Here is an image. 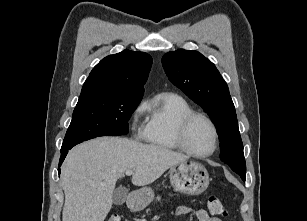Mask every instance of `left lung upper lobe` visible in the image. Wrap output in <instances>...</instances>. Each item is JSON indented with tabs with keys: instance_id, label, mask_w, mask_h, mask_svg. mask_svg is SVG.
I'll use <instances>...</instances> for the list:
<instances>
[{
	"instance_id": "1",
	"label": "left lung upper lobe",
	"mask_w": 307,
	"mask_h": 221,
	"mask_svg": "<svg viewBox=\"0 0 307 221\" xmlns=\"http://www.w3.org/2000/svg\"><path fill=\"white\" fill-rule=\"evenodd\" d=\"M162 64L169 80L200 105L215 122L220 158L240 176L246 175L243 144L229 89L215 65L195 50L166 53Z\"/></svg>"
}]
</instances>
